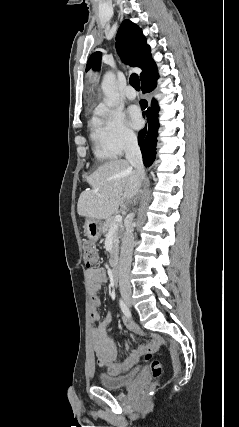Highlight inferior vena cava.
Here are the masks:
<instances>
[{
	"mask_svg": "<svg viewBox=\"0 0 239 427\" xmlns=\"http://www.w3.org/2000/svg\"><path fill=\"white\" fill-rule=\"evenodd\" d=\"M125 156L130 165L143 179L145 176L142 155L136 136L130 135L125 143ZM134 214L130 215V220L126 225V231L122 238L121 252L118 265L119 287L121 291L130 290V269L132 262V252L134 247L133 220Z\"/></svg>",
	"mask_w": 239,
	"mask_h": 427,
	"instance_id": "inferior-vena-cava-1",
	"label": "inferior vena cava"
}]
</instances>
